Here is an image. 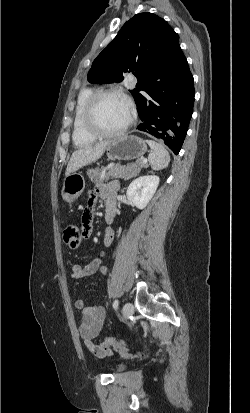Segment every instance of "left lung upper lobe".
<instances>
[{
  "label": "left lung upper lobe",
  "mask_w": 250,
  "mask_h": 413,
  "mask_svg": "<svg viewBox=\"0 0 250 413\" xmlns=\"http://www.w3.org/2000/svg\"><path fill=\"white\" fill-rule=\"evenodd\" d=\"M173 36L178 35L159 16L149 12L135 15L94 60L88 81L121 82L127 73H133L138 80L136 88L130 90L135 99L140 86L162 67L161 40L168 43Z\"/></svg>",
  "instance_id": "left-lung-upper-lobe-1"
}]
</instances>
